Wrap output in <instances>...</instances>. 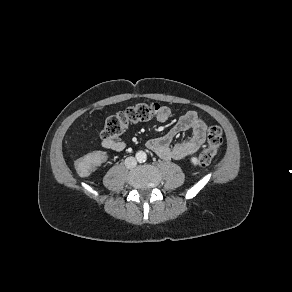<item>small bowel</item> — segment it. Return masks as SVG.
Segmentation results:
<instances>
[{
  "instance_id": "obj_1",
  "label": "small bowel",
  "mask_w": 292,
  "mask_h": 292,
  "mask_svg": "<svg viewBox=\"0 0 292 292\" xmlns=\"http://www.w3.org/2000/svg\"><path fill=\"white\" fill-rule=\"evenodd\" d=\"M170 109L161 106L157 121L164 123L170 117ZM191 130V135L182 141L173 143V140L180 133ZM207 124L205 120L195 111H188L183 114L174 127L164 136L151 139L147 146L159 157L165 160L183 159L196 152L205 142ZM102 147L114 152H121L126 144L119 140H103Z\"/></svg>"
}]
</instances>
